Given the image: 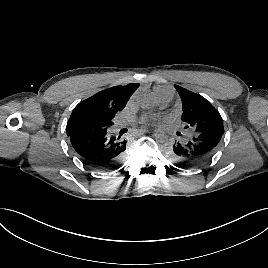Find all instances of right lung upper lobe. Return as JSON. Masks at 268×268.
<instances>
[{
  "instance_id": "obj_1",
  "label": "right lung upper lobe",
  "mask_w": 268,
  "mask_h": 268,
  "mask_svg": "<svg viewBox=\"0 0 268 268\" xmlns=\"http://www.w3.org/2000/svg\"><path fill=\"white\" fill-rule=\"evenodd\" d=\"M139 87V83L126 86H114L100 91L92 97L81 101L72 111L71 116L90 114L114 118L115 114L124 109L131 95Z\"/></svg>"
}]
</instances>
